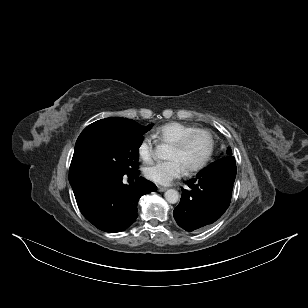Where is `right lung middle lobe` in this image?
<instances>
[{
    "instance_id": "dd1d6c3e",
    "label": "right lung middle lobe",
    "mask_w": 308,
    "mask_h": 308,
    "mask_svg": "<svg viewBox=\"0 0 308 308\" xmlns=\"http://www.w3.org/2000/svg\"><path fill=\"white\" fill-rule=\"evenodd\" d=\"M152 126L134 123L131 127L102 129L84 136L75 145L74 172L81 177H116L137 172L143 134Z\"/></svg>"
}]
</instances>
